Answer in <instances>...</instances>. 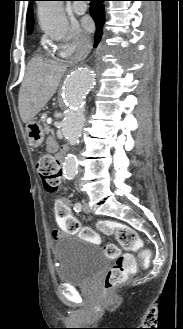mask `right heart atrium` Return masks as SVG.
Instances as JSON below:
<instances>
[{
  "label": "right heart atrium",
  "instance_id": "right-heart-atrium-1",
  "mask_svg": "<svg viewBox=\"0 0 183 329\" xmlns=\"http://www.w3.org/2000/svg\"><path fill=\"white\" fill-rule=\"evenodd\" d=\"M88 36L76 24L72 25L64 40L57 43V53L62 57H67L74 52L77 47H89Z\"/></svg>",
  "mask_w": 183,
  "mask_h": 329
}]
</instances>
